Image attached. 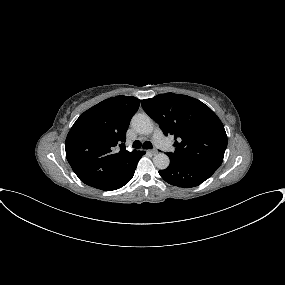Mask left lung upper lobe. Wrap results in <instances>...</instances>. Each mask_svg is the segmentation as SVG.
<instances>
[{"mask_svg":"<svg viewBox=\"0 0 285 285\" xmlns=\"http://www.w3.org/2000/svg\"><path fill=\"white\" fill-rule=\"evenodd\" d=\"M143 109L163 133L175 139L170 160L217 170L227 147V135L217 115L204 103L187 95L159 94L141 101Z\"/></svg>","mask_w":285,"mask_h":285,"instance_id":"5c2ea615","label":"left lung upper lobe"}]
</instances>
